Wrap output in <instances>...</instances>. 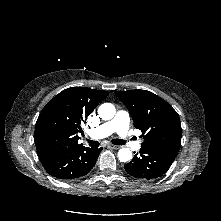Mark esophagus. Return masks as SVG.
<instances>
[{
  "mask_svg": "<svg viewBox=\"0 0 221 221\" xmlns=\"http://www.w3.org/2000/svg\"><path fill=\"white\" fill-rule=\"evenodd\" d=\"M108 147L111 148V149H119L120 148V146L113 145V144H108Z\"/></svg>",
  "mask_w": 221,
  "mask_h": 221,
  "instance_id": "obj_1",
  "label": "esophagus"
}]
</instances>
